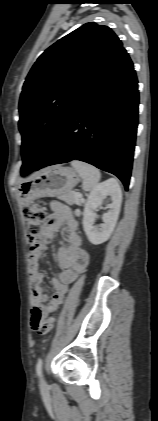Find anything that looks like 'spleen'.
<instances>
[{
	"instance_id": "spleen-1",
	"label": "spleen",
	"mask_w": 158,
	"mask_h": 421,
	"mask_svg": "<svg viewBox=\"0 0 158 421\" xmlns=\"http://www.w3.org/2000/svg\"><path fill=\"white\" fill-rule=\"evenodd\" d=\"M71 165L83 179V190L93 191L100 180V171L96 167L79 160L72 161Z\"/></svg>"
}]
</instances>
